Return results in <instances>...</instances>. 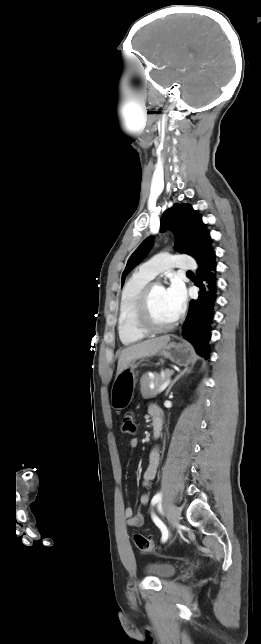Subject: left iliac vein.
<instances>
[{"instance_id": "left-iliac-vein-1", "label": "left iliac vein", "mask_w": 261, "mask_h": 644, "mask_svg": "<svg viewBox=\"0 0 261 644\" xmlns=\"http://www.w3.org/2000/svg\"><path fill=\"white\" fill-rule=\"evenodd\" d=\"M167 515L169 518V521L173 527L177 526L180 522L181 519V511L180 509L175 506V505H170L167 508Z\"/></svg>"}]
</instances>
